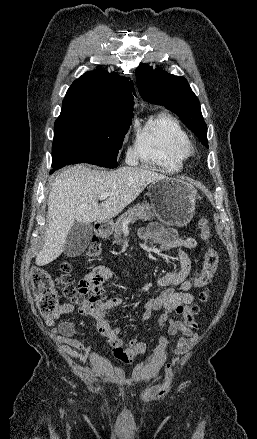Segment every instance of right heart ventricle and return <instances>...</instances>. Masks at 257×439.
Listing matches in <instances>:
<instances>
[{
    "label": "right heart ventricle",
    "instance_id": "1",
    "mask_svg": "<svg viewBox=\"0 0 257 439\" xmlns=\"http://www.w3.org/2000/svg\"><path fill=\"white\" fill-rule=\"evenodd\" d=\"M191 147L190 138L180 122L162 112L137 130L134 150L143 165L175 173L182 169Z\"/></svg>",
    "mask_w": 257,
    "mask_h": 439
}]
</instances>
